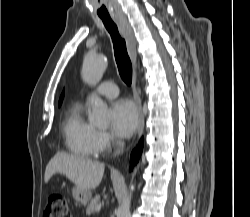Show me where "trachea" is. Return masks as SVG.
<instances>
[{
    "label": "trachea",
    "instance_id": "obj_1",
    "mask_svg": "<svg viewBox=\"0 0 250 217\" xmlns=\"http://www.w3.org/2000/svg\"><path fill=\"white\" fill-rule=\"evenodd\" d=\"M102 21L112 38L113 47H114V55H115V60H116L117 67L119 70V74L122 80L127 85H131L132 64L127 53L125 39H123L121 35L119 34L117 25L114 23L113 20L103 19Z\"/></svg>",
    "mask_w": 250,
    "mask_h": 217
}]
</instances>
